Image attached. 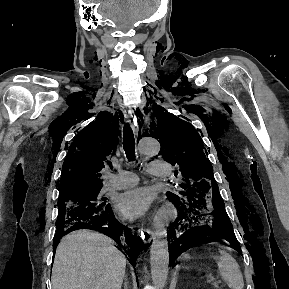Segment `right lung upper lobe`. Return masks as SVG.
Listing matches in <instances>:
<instances>
[{
  "instance_id": "cb5924a9",
  "label": "right lung upper lobe",
  "mask_w": 289,
  "mask_h": 289,
  "mask_svg": "<svg viewBox=\"0 0 289 289\" xmlns=\"http://www.w3.org/2000/svg\"><path fill=\"white\" fill-rule=\"evenodd\" d=\"M101 113L97 120L82 129L70 145L57 186L60 196L74 192L101 189L100 171L108 164V158L118 144V124Z\"/></svg>"
}]
</instances>
